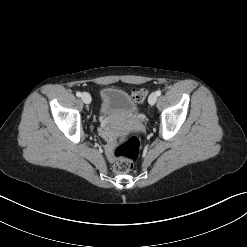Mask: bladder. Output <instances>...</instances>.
I'll return each mask as SVG.
<instances>
[{
  "label": "bladder",
  "instance_id": "1",
  "mask_svg": "<svg viewBox=\"0 0 247 247\" xmlns=\"http://www.w3.org/2000/svg\"><path fill=\"white\" fill-rule=\"evenodd\" d=\"M137 110L134 98L125 90L106 87L100 92V113L104 116H130Z\"/></svg>",
  "mask_w": 247,
  "mask_h": 247
}]
</instances>
